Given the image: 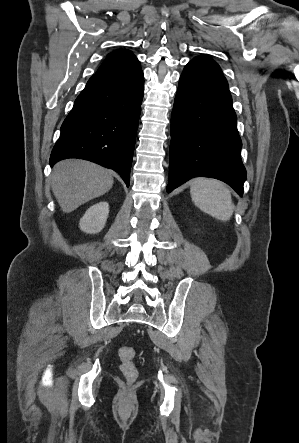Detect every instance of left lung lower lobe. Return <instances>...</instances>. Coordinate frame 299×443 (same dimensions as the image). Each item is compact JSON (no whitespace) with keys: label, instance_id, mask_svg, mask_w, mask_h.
<instances>
[{"label":"left lung lower lobe","instance_id":"left-lung-lower-lobe-1","mask_svg":"<svg viewBox=\"0 0 299 443\" xmlns=\"http://www.w3.org/2000/svg\"><path fill=\"white\" fill-rule=\"evenodd\" d=\"M236 123L223 74L188 63L171 116L168 193L193 177H210L242 196L246 170Z\"/></svg>","mask_w":299,"mask_h":443}]
</instances>
